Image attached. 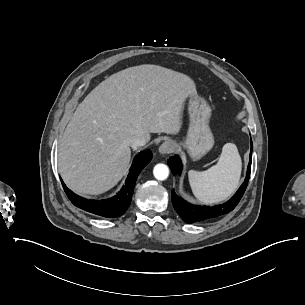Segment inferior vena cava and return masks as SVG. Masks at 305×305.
<instances>
[{"label": "inferior vena cava", "instance_id": "602c4592", "mask_svg": "<svg viewBox=\"0 0 305 305\" xmlns=\"http://www.w3.org/2000/svg\"><path fill=\"white\" fill-rule=\"evenodd\" d=\"M148 141V136H139V137H134L130 140V145L132 147H137V146H144Z\"/></svg>", "mask_w": 305, "mask_h": 305}]
</instances>
